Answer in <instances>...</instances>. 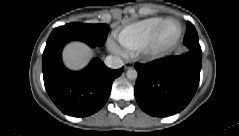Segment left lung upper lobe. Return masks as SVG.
Returning a JSON list of instances; mask_svg holds the SVG:
<instances>
[{
	"label": "left lung upper lobe",
	"instance_id": "obj_1",
	"mask_svg": "<svg viewBox=\"0 0 239 136\" xmlns=\"http://www.w3.org/2000/svg\"><path fill=\"white\" fill-rule=\"evenodd\" d=\"M183 43L188 47L189 51L202 53L197 31L191 22H187Z\"/></svg>",
	"mask_w": 239,
	"mask_h": 136
}]
</instances>
